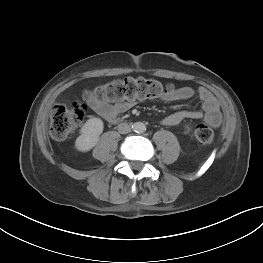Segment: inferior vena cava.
<instances>
[{
  "label": "inferior vena cava",
  "mask_w": 263,
  "mask_h": 263,
  "mask_svg": "<svg viewBox=\"0 0 263 263\" xmlns=\"http://www.w3.org/2000/svg\"><path fill=\"white\" fill-rule=\"evenodd\" d=\"M117 128L121 134H126L131 131V128L127 123H120Z\"/></svg>",
  "instance_id": "obj_1"
}]
</instances>
